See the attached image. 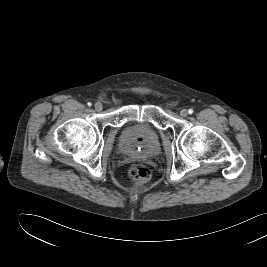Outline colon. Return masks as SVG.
Here are the masks:
<instances>
[{
  "instance_id": "colon-1",
  "label": "colon",
  "mask_w": 267,
  "mask_h": 267,
  "mask_svg": "<svg viewBox=\"0 0 267 267\" xmlns=\"http://www.w3.org/2000/svg\"><path fill=\"white\" fill-rule=\"evenodd\" d=\"M128 178L135 184H143L150 180L151 169L144 163H134L127 170Z\"/></svg>"
}]
</instances>
